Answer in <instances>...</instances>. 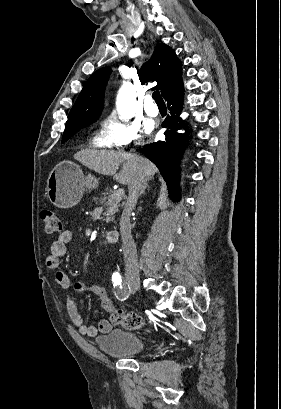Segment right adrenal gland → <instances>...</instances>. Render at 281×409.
<instances>
[{"label":"right adrenal gland","mask_w":281,"mask_h":409,"mask_svg":"<svg viewBox=\"0 0 281 409\" xmlns=\"http://www.w3.org/2000/svg\"><path fill=\"white\" fill-rule=\"evenodd\" d=\"M148 182H149V178H145V180H144V182H143V184L141 186L140 194H144L146 188H147V190H149Z\"/></svg>","instance_id":"2a0ac1e0"}]
</instances>
